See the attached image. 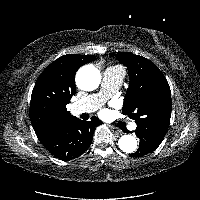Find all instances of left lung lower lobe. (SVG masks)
Returning a JSON list of instances; mask_svg holds the SVG:
<instances>
[{
    "instance_id": "1",
    "label": "left lung lower lobe",
    "mask_w": 200,
    "mask_h": 200,
    "mask_svg": "<svg viewBox=\"0 0 200 200\" xmlns=\"http://www.w3.org/2000/svg\"><path fill=\"white\" fill-rule=\"evenodd\" d=\"M136 135L140 139L139 149L131 154L132 157H141L154 151L162 142L164 133L152 127L137 125Z\"/></svg>"
}]
</instances>
